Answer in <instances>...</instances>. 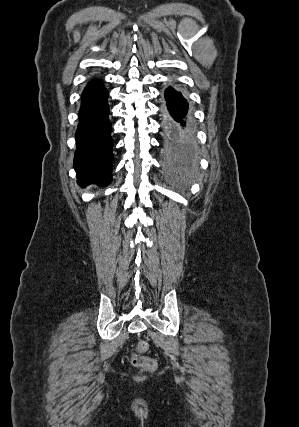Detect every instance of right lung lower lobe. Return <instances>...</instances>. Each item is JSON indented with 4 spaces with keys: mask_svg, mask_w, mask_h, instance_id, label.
<instances>
[{
    "mask_svg": "<svg viewBox=\"0 0 299 427\" xmlns=\"http://www.w3.org/2000/svg\"><path fill=\"white\" fill-rule=\"evenodd\" d=\"M108 92L99 80L88 83L82 94L74 168L79 185H107L112 179V138L108 120Z\"/></svg>",
    "mask_w": 299,
    "mask_h": 427,
    "instance_id": "right-lung-lower-lobe-1",
    "label": "right lung lower lobe"
}]
</instances>
